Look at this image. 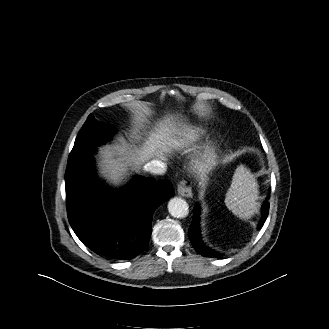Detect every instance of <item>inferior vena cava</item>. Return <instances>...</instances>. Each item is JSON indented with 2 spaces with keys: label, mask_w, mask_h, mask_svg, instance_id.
<instances>
[{
  "label": "inferior vena cava",
  "mask_w": 329,
  "mask_h": 329,
  "mask_svg": "<svg viewBox=\"0 0 329 329\" xmlns=\"http://www.w3.org/2000/svg\"><path fill=\"white\" fill-rule=\"evenodd\" d=\"M166 163L154 159L144 165V170L153 174H163L166 171Z\"/></svg>",
  "instance_id": "obj_1"
}]
</instances>
